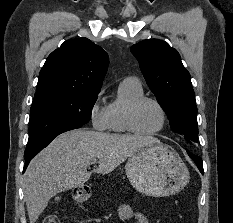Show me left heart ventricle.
Instances as JSON below:
<instances>
[{"mask_svg": "<svg viewBox=\"0 0 233 223\" xmlns=\"http://www.w3.org/2000/svg\"><path fill=\"white\" fill-rule=\"evenodd\" d=\"M137 125L146 133L159 130L163 125V115L159 107L152 102L144 103L138 111Z\"/></svg>", "mask_w": 233, "mask_h": 223, "instance_id": "b2bd125f", "label": "left heart ventricle"}]
</instances>
